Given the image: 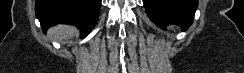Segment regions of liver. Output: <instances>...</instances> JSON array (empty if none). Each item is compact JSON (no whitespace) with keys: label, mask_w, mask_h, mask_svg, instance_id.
Returning <instances> with one entry per match:
<instances>
[{"label":"liver","mask_w":244,"mask_h":73,"mask_svg":"<svg viewBox=\"0 0 244 73\" xmlns=\"http://www.w3.org/2000/svg\"><path fill=\"white\" fill-rule=\"evenodd\" d=\"M51 32L53 34H55L57 37L65 38V37L73 35V33L75 32V29L68 25H60V26H57L54 29H52Z\"/></svg>","instance_id":"6515ba94"}]
</instances>
